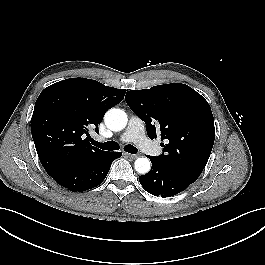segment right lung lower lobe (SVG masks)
I'll list each match as a JSON object with an SVG mask.
<instances>
[{
    "label": "right lung lower lobe",
    "mask_w": 265,
    "mask_h": 265,
    "mask_svg": "<svg viewBox=\"0 0 265 265\" xmlns=\"http://www.w3.org/2000/svg\"><path fill=\"white\" fill-rule=\"evenodd\" d=\"M121 152H106L97 159L59 168L49 175L61 186L74 192L94 188L105 179L112 162Z\"/></svg>",
    "instance_id": "98d812e1"
}]
</instances>
